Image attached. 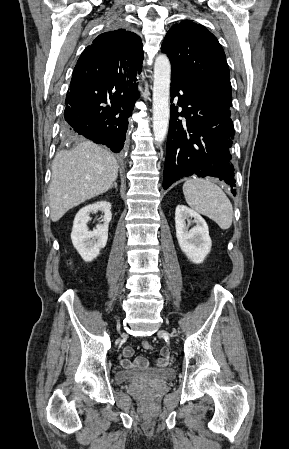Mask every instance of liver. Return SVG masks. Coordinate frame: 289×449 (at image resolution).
<instances>
[{
  "label": "liver",
  "instance_id": "liver-1",
  "mask_svg": "<svg viewBox=\"0 0 289 449\" xmlns=\"http://www.w3.org/2000/svg\"><path fill=\"white\" fill-rule=\"evenodd\" d=\"M118 176L115 157L90 141L59 152L52 164L50 217L57 222L70 209L105 193Z\"/></svg>",
  "mask_w": 289,
  "mask_h": 449
}]
</instances>
